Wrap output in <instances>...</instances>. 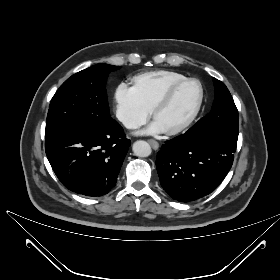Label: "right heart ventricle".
I'll list each match as a JSON object with an SVG mask.
<instances>
[{"label": "right heart ventricle", "instance_id": "e07e8e85", "mask_svg": "<svg viewBox=\"0 0 280 280\" xmlns=\"http://www.w3.org/2000/svg\"><path fill=\"white\" fill-rule=\"evenodd\" d=\"M185 78V75L175 71L156 70L137 74L132 80L141 100L151 109L171 84Z\"/></svg>", "mask_w": 280, "mask_h": 280}]
</instances>
